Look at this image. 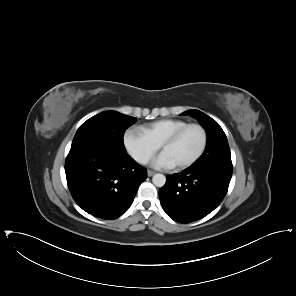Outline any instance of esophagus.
Returning <instances> with one entry per match:
<instances>
[{"instance_id": "esophagus-1", "label": "esophagus", "mask_w": 296, "mask_h": 296, "mask_svg": "<svg viewBox=\"0 0 296 296\" xmlns=\"http://www.w3.org/2000/svg\"><path fill=\"white\" fill-rule=\"evenodd\" d=\"M147 174H148L149 177H151V176H153L155 174V172L152 171V170H148Z\"/></svg>"}]
</instances>
